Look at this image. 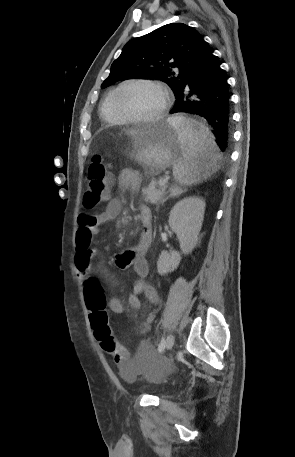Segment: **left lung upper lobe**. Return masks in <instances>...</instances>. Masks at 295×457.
<instances>
[{"label":"left lung upper lobe","mask_w":295,"mask_h":457,"mask_svg":"<svg viewBox=\"0 0 295 457\" xmlns=\"http://www.w3.org/2000/svg\"><path fill=\"white\" fill-rule=\"evenodd\" d=\"M203 40L197 30L183 23L167 24L134 38L112 63L101 87L131 78L156 79L165 82L176 95L183 84V73ZM175 67H179V73L172 70Z\"/></svg>","instance_id":"1"}]
</instances>
